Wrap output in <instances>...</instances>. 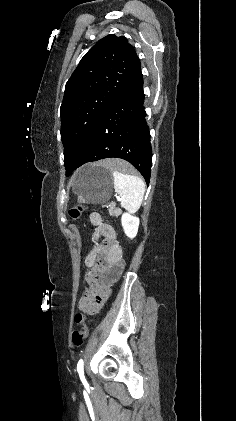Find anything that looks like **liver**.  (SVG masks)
I'll use <instances>...</instances> for the list:
<instances>
[{"mask_svg": "<svg viewBox=\"0 0 236 421\" xmlns=\"http://www.w3.org/2000/svg\"><path fill=\"white\" fill-rule=\"evenodd\" d=\"M109 162H116V160L115 158H105V160H100L99 164H101V166H108Z\"/></svg>", "mask_w": 236, "mask_h": 421, "instance_id": "1", "label": "liver"}]
</instances>
